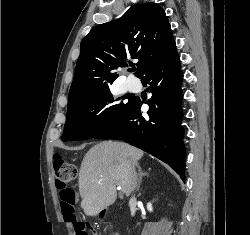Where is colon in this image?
Listing matches in <instances>:
<instances>
[{"label": "colon", "mask_w": 250, "mask_h": 235, "mask_svg": "<svg viewBox=\"0 0 250 235\" xmlns=\"http://www.w3.org/2000/svg\"><path fill=\"white\" fill-rule=\"evenodd\" d=\"M54 172L57 186L60 188V206L66 222L73 225L76 235H88L87 226L78 220L76 215V193L73 189L66 188L77 177V168L73 163L56 157Z\"/></svg>", "instance_id": "5ec220e1"}]
</instances>
